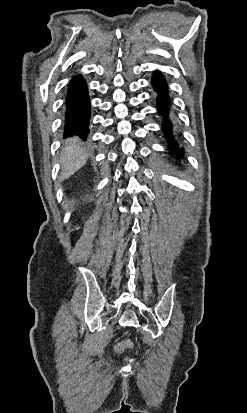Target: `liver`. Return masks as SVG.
I'll return each mask as SVG.
<instances>
[{
	"mask_svg": "<svg viewBox=\"0 0 247 413\" xmlns=\"http://www.w3.org/2000/svg\"><path fill=\"white\" fill-rule=\"evenodd\" d=\"M88 152L82 148L80 138H68L61 154V178H69L86 162Z\"/></svg>",
	"mask_w": 247,
	"mask_h": 413,
	"instance_id": "liver-1",
	"label": "liver"
}]
</instances>
